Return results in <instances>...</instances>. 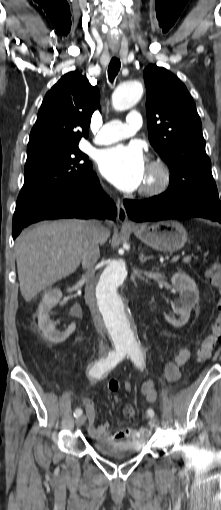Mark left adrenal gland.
<instances>
[{"label": "left adrenal gland", "mask_w": 221, "mask_h": 510, "mask_svg": "<svg viewBox=\"0 0 221 510\" xmlns=\"http://www.w3.org/2000/svg\"><path fill=\"white\" fill-rule=\"evenodd\" d=\"M152 258H153L152 256H149V257L144 256L143 251L139 255V260L141 263H144L145 261L150 260Z\"/></svg>", "instance_id": "1"}]
</instances>
